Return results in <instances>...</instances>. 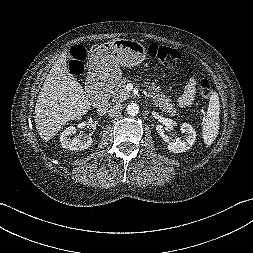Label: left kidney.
Here are the masks:
<instances>
[{
    "instance_id": "left-kidney-1",
    "label": "left kidney",
    "mask_w": 253,
    "mask_h": 253,
    "mask_svg": "<svg viewBox=\"0 0 253 253\" xmlns=\"http://www.w3.org/2000/svg\"><path fill=\"white\" fill-rule=\"evenodd\" d=\"M180 131L185 133V139L180 140L179 138L176 141L168 143V150L173 153H182L188 150L195 142L196 132L193 127L188 123H183Z\"/></svg>"
}]
</instances>
